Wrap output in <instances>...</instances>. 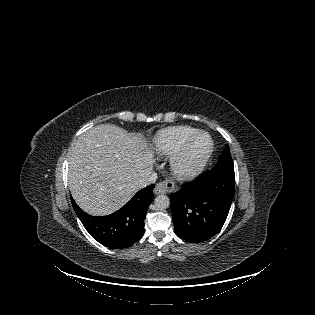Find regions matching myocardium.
<instances>
[{"mask_svg": "<svg viewBox=\"0 0 315 315\" xmlns=\"http://www.w3.org/2000/svg\"><path fill=\"white\" fill-rule=\"evenodd\" d=\"M204 136L208 140L205 151L196 159L191 158V149L195 140ZM213 152V140L205 131H198L189 137L181 148L173 154L170 160V167L173 174L182 180L194 178L200 174L207 165Z\"/></svg>", "mask_w": 315, "mask_h": 315, "instance_id": "myocardium-1", "label": "myocardium"}]
</instances>
